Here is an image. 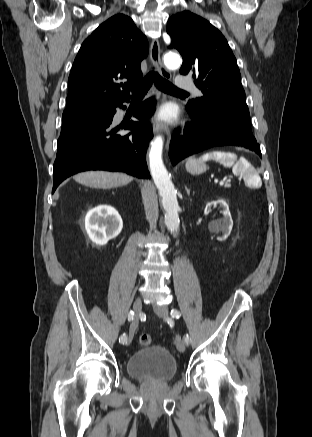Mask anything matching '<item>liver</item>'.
<instances>
[{
  "label": "liver",
  "mask_w": 312,
  "mask_h": 437,
  "mask_svg": "<svg viewBox=\"0 0 312 437\" xmlns=\"http://www.w3.org/2000/svg\"><path fill=\"white\" fill-rule=\"evenodd\" d=\"M74 180L84 186L109 189L130 183L132 177L121 172L88 171L77 174Z\"/></svg>",
  "instance_id": "1"
}]
</instances>
